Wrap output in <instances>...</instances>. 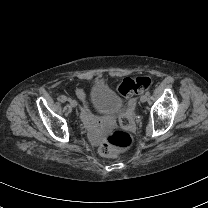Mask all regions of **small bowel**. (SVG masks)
I'll return each mask as SVG.
<instances>
[{
	"label": "small bowel",
	"instance_id": "obj_1",
	"mask_svg": "<svg viewBox=\"0 0 208 208\" xmlns=\"http://www.w3.org/2000/svg\"><path fill=\"white\" fill-rule=\"evenodd\" d=\"M60 90L68 98H71L75 95L76 98L79 99V119L83 123L88 135L91 136L92 139H99L102 133L111 127L113 119L109 115L104 116L97 126L95 125L90 117V96L85 90L82 89L80 82L74 79H67L62 82ZM62 113L64 116L69 117L72 115L73 110L71 107L66 106L63 108Z\"/></svg>",
	"mask_w": 208,
	"mask_h": 208
}]
</instances>
